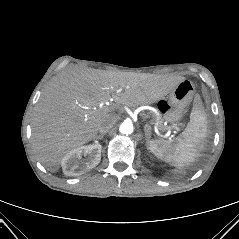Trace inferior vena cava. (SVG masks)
I'll return each instance as SVG.
<instances>
[{
  "label": "inferior vena cava",
  "mask_w": 239,
  "mask_h": 239,
  "mask_svg": "<svg viewBox=\"0 0 239 239\" xmlns=\"http://www.w3.org/2000/svg\"><path fill=\"white\" fill-rule=\"evenodd\" d=\"M114 123L113 122H104L103 124H101V126L99 127V132L101 134H105L107 133L112 127H113Z\"/></svg>",
  "instance_id": "obj_1"
}]
</instances>
